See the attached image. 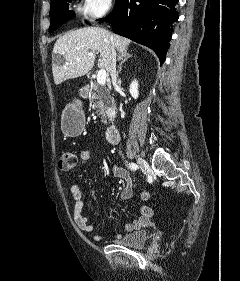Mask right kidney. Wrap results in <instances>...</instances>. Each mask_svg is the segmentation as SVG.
<instances>
[{
	"mask_svg": "<svg viewBox=\"0 0 240 281\" xmlns=\"http://www.w3.org/2000/svg\"><path fill=\"white\" fill-rule=\"evenodd\" d=\"M129 92L134 99L138 98L139 95L138 82L136 80H133L132 83L130 84Z\"/></svg>",
	"mask_w": 240,
	"mask_h": 281,
	"instance_id": "right-kidney-1",
	"label": "right kidney"
}]
</instances>
